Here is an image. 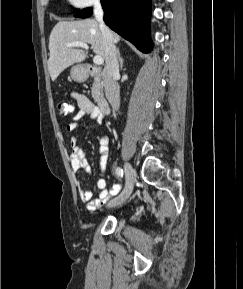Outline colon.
<instances>
[{"label":"colon","instance_id":"5ec220e1","mask_svg":"<svg viewBox=\"0 0 243 289\" xmlns=\"http://www.w3.org/2000/svg\"><path fill=\"white\" fill-rule=\"evenodd\" d=\"M57 108L61 117H67L74 112L73 105L68 102L58 103Z\"/></svg>","mask_w":243,"mask_h":289}]
</instances>
